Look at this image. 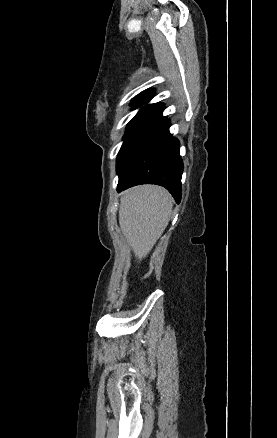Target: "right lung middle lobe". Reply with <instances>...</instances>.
<instances>
[{"instance_id":"dd1d6c3e","label":"right lung middle lobe","mask_w":277,"mask_h":438,"mask_svg":"<svg viewBox=\"0 0 277 438\" xmlns=\"http://www.w3.org/2000/svg\"><path fill=\"white\" fill-rule=\"evenodd\" d=\"M162 112H153L135 116L127 125L123 137L124 143L117 157L119 180L125 175L148 143L165 122Z\"/></svg>"}]
</instances>
